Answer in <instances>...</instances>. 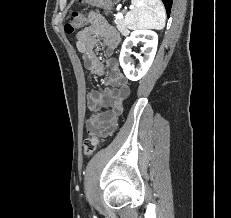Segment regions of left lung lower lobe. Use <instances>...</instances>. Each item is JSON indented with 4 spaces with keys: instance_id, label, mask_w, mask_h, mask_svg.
Listing matches in <instances>:
<instances>
[{
    "instance_id": "1",
    "label": "left lung lower lobe",
    "mask_w": 231,
    "mask_h": 218,
    "mask_svg": "<svg viewBox=\"0 0 231 218\" xmlns=\"http://www.w3.org/2000/svg\"><path fill=\"white\" fill-rule=\"evenodd\" d=\"M162 2L165 5L167 15L169 16L173 0H162Z\"/></svg>"
}]
</instances>
